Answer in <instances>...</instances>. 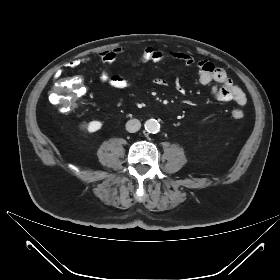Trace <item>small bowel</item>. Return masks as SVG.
<instances>
[{
    "mask_svg": "<svg viewBox=\"0 0 280 280\" xmlns=\"http://www.w3.org/2000/svg\"><path fill=\"white\" fill-rule=\"evenodd\" d=\"M118 59H124L128 63H143L147 61L158 62L164 59H175L183 62L187 66L194 64V59L187 53L180 51H161L154 48H149L146 53L136 59L129 55L128 51L125 48H116L112 50L105 51L100 54V60L104 66H108ZM86 58H81L78 60H73L67 63L66 67L68 69H75L81 63L85 62ZM198 66V82L202 85L214 84L212 87V95L218 101H233L239 107H244L247 103V97L243 90L236 86L232 79L228 76L227 72L220 67L215 66L213 63L208 61H199ZM98 80L109 86L125 89L131 85V81L125 77L119 75L110 74L105 68L100 70L98 74ZM153 82L157 86L166 85V81L162 78H154ZM179 91H182V86L177 83L176 85ZM243 112L240 108L233 110L232 116L236 118L235 114Z\"/></svg>",
    "mask_w": 280,
    "mask_h": 280,
    "instance_id": "1",
    "label": "small bowel"
}]
</instances>
